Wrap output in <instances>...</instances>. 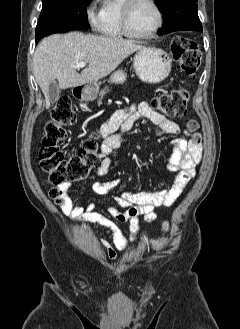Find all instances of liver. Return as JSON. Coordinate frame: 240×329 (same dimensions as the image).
Returning a JSON list of instances; mask_svg holds the SVG:
<instances>
[{
  "label": "liver",
  "mask_w": 240,
  "mask_h": 329,
  "mask_svg": "<svg viewBox=\"0 0 240 329\" xmlns=\"http://www.w3.org/2000/svg\"><path fill=\"white\" fill-rule=\"evenodd\" d=\"M142 48L134 40L70 32L44 38L33 57V73L41 88L46 108L50 107L48 87L57 79L62 89L97 82L129 55ZM88 63L79 74L76 64Z\"/></svg>",
  "instance_id": "liver-1"
}]
</instances>
